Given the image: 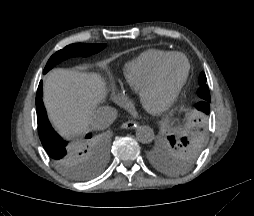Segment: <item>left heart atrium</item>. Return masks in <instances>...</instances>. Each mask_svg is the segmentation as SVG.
Masks as SVG:
<instances>
[{
	"label": "left heart atrium",
	"mask_w": 254,
	"mask_h": 216,
	"mask_svg": "<svg viewBox=\"0 0 254 216\" xmlns=\"http://www.w3.org/2000/svg\"><path fill=\"white\" fill-rule=\"evenodd\" d=\"M146 108L149 109V110H151V108H149V107H147V106H146Z\"/></svg>",
	"instance_id": "left-heart-atrium-1"
}]
</instances>
